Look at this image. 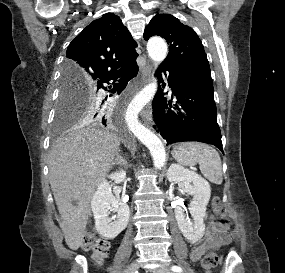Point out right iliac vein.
Here are the masks:
<instances>
[{
	"mask_svg": "<svg viewBox=\"0 0 285 273\" xmlns=\"http://www.w3.org/2000/svg\"><path fill=\"white\" fill-rule=\"evenodd\" d=\"M139 268V264L137 261H133L130 263V265L127 267L125 273H135L136 270Z\"/></svg>",
	"mask_w": 285,
	"mask_h": 273,
	"instance_id": "63e3f726",
	"label": "right iliac vein"
}]
</instances>
